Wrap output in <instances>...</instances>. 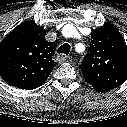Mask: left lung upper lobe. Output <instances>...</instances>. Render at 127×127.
<instances>
[{"label": "left lung upper lobe", "mask_w": 127, "mask_h": 127, "mask_svg": "<svg viewBox=\"0 0 127 127\" xmlns=\"http://www.w3.org/2000/svg\"><path fill=\"white\" fill-rule=\"evenodd\" d=\"M80 69L89 84L117 88L127 80V46L117 28L106 23L94 30Z\"/></svg>", "instance_id": "obj_1"}]
</instances>
